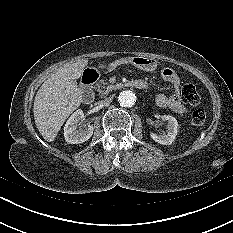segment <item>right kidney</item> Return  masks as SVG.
Wrapping results in <instances>:
<instances>
[{
	"label": "right kidney",
	"mask_w": 233,
	"mask_h": 233,
	"mask_svg": "<svg viewBox=\"0 0 233 233\" xmlns=\"http://www.w3.org/2000/svg\"><path fill=\"white\" fill-rule=\"evenodd\" d=\"M84 113L81 109L75 111L67 120L64 127V137L67 143L79 144L87 141L93 134V125L77 130L78 123L83 118Z\"/></svg>",
	"instance_id": "right-kidney-1"
}]
</instances>
